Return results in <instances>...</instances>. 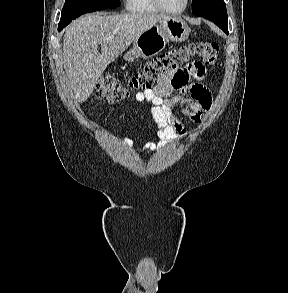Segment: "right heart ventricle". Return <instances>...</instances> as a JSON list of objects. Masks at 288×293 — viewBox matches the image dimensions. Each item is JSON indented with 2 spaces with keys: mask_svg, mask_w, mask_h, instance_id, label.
<instances>
[{
  "mask_svg": "<svg viewBox=\"0 0 288 293\" xmlns=\"http://www.w3.org/2000/svg\"><path fill=\"white\" fill-rule=\"evenodd\" d=\"M126 9L134 13H158L153 0H125Z\"/></svg>",
  "mask_w": 288,
  "mask_h": 293,
  "instance_id": "e07e8e85",
  "label": "right heart ventricle"
}]
</instances>
